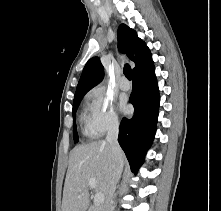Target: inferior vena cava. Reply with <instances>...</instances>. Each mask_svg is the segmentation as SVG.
Masks as SVG:
<instances>
[{"label": "inferior vena cava", "mask_w": 221, "mask_h": 211, "mask_svg": "<svg viewBox=\"0 0 221 211\" xmlns=\"http://www.w3.org/2000/svg\"><path fill=\"white\" fill-rule=\"evenodd\" d=\"M119 123L114 121L110 124L106 141L110 144L114 161L113 173L108 186V193L103 207V211H114L113 198L115 195L116 185L121 177L123 170L122 155L123 152L118 143Z\"/></svg>", "instance_id": "inferior-vena-cava-1"}]
</instances>
